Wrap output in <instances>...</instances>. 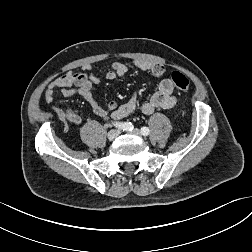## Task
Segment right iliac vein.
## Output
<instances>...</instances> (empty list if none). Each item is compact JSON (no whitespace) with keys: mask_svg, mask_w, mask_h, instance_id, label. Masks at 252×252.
I'll return each instance as SVG.
<instances>
[{"mask_svg":"<svg viewBox=\"0 0 252 252\" xmlns=\"http://www.w3.org/2000/svg\"><path fill=\"white\" fill-rule=\"evenodd\" d=\"M119 133L118 130L113 129L108 132L107 137L110 141H113L118 137Z\"/></svg>","mask_w":252,"mask_h":252,"instance_id":"1","label":"right iliac vein"}]
</instances>
